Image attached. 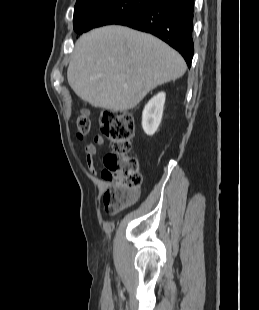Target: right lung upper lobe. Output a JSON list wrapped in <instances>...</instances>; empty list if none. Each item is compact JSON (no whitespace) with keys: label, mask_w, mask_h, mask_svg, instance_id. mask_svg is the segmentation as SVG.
I'll use <instances>...</instances> for the list:
<instances>
[{"label":"right lung upper lobe","mask_w":259,"mask_h":310,"mask_svg":"<svg viewBox=\"0 0 259 310\" xmlns=\"http://www.w3.org/2000/svg\"><path fill=\"white\" fill-rule=\"evenodd\" d=\"M100 1H103V0H77L76 5H75V9L87 7V6L96 4Z\"/></svg>","instance_id":"1"}]
</instances>
